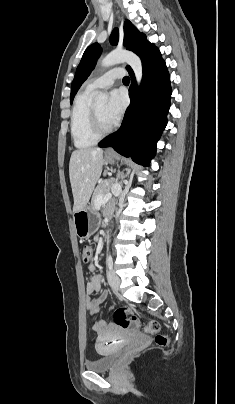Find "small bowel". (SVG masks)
<instances>
[{
	"label": "small bowel",
	"mask_w": 235,
	"mask_h": 404,
	"mask_svg": "<svg viewBox=\"0 0 235 404\" xmlns=\"http://www.w3.org/2000/svg\"><path fill=\"white\" fill-rule=\"evenodd\" d=\"M95 268H96L95 263L90 264L89 266L90 270H94ZM101 284H102L101 276L97 274L92 275L90 281L87 283L86 286L87 294L91 295L93 293L99 292L101 289ZM105 299H106L105 293H102L96 299H88L87 308L91 316H97L100 313ZM92 329L98 334L97 338L98 345L109 339L116 338L120 334V330L115 324L109 323L102 319L94 320L92 324Z\"/></svg>",
	"instance_id": "obj_1"
}]
</instances>
